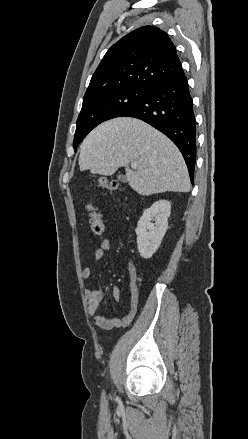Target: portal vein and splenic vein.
<instances>
[{"mask_svg": "<svg viewBox=\"0 0 248 439\" xmlns=\"http://www.w3.org/2000/svg\"><path fill=\"white\" fill-rule=\"evenodd\" d=\"M137 166H138V164H137L136 162H132V163H131V167H132L133 169H135Z\"/></svg>", "mask_w": 248, "mask_h": 439, "instance_id": "1", "label": "portal vein and splenic vein"}]
</instances>
